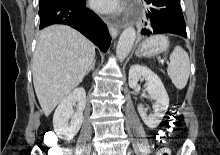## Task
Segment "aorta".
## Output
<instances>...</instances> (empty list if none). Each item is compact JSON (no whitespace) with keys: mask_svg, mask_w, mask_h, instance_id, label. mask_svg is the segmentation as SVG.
<instances>
[{"mask_svg":"<svg viewBox=\"0 0 220 155\" xmlns=\"http://www.w3.org/2000/svg\"><path fill=\"white\" fill-rule=\"evenodd\" d=\"M136 39V31L132 26L124 29L120 35L117 47L116 56L120 60H124L130 53Z\"/></svg>","mask_w":220,"mask_h":155,"instance_id":"obj_1","label":"aorta"}]
</instances>
